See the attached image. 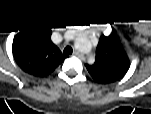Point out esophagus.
Returning <instances> with one entry per match:
<instances>
[{
    "label": "esophagus",
    "mask_w": 151,
    "mask_h": 114,
    "mask_svg": "<svg viewBox=\"0 0 151 114\" xmlns=\"http://www.w3.org/2000/svg\"><path fill=\"white\" fill-rule=\"evenodd\" d=\"M73 54H74L75 56H77L78 58H80V59H84V55L81 54L79 51H74Z\"/></svg>",
    "instance_id": "1"
}]
</instances>
